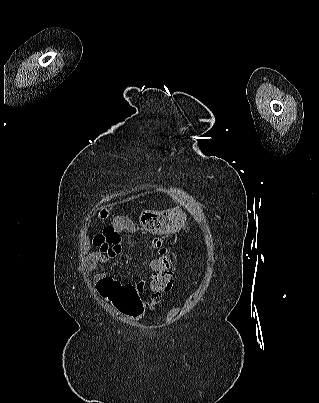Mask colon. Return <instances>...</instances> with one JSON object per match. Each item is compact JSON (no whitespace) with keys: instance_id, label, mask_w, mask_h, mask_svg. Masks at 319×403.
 <instances>
[{"instance_id":"colon-1","label":"colon","mask_w":319,"mask_h":403,"mask_svg":"<svg viewBox=\"0 0 319 403\" xmlns=\"http://www.w3.org/2000/svg\"><path fill=\"white\" fill-rule=\"evenodd\" d=\"M102 216H106V210L101 212ZM94 237V235H93ZM153 246L150 248L151 267L150 282H147V291H153L157 300H165L166 292L170 287H175V278H173V259H167L166 252H156L162 242L161 234L153 235Z\"/></svg>"}]
</instances>
